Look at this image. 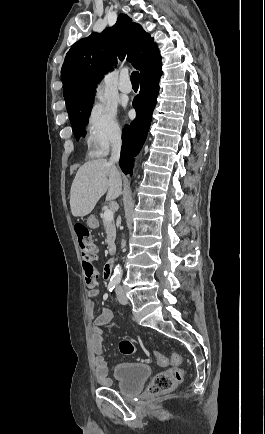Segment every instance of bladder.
<instances>
[{"mask_svg": "<svg viewBox=\"0 0 265 434\" xmlns=\"http://www.w3.org/2000/svg\"><path fill=\"white\" fill-rule=\"evenodd\" d=\"M150 375L151 368L143 363L125 362L113 368V377L117 382L118 391L126 397L138 394Z\"/></svg>", "mask_w": 265, "mask_h": 434, "instance_id": "bladder-1", "label": "bladder"}]
</instances>
